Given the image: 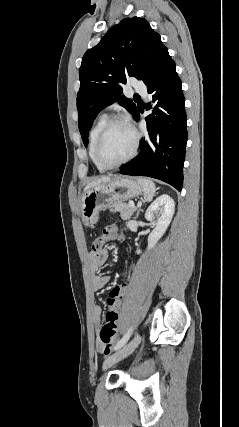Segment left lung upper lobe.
Listing matches in <instances>:
<instances>
[{
	"mask_svg": "<svg viewBox=\"0 0 239 427\" xmlns=\"http://www.w3.org/2000/svg\"><path fill=\"white\" fill-rule=\"evenodd\" d=\"M171 61L160 35L139 17L123 19L88 50L79 70L77 95L78 127L84 145L94 119L106 106L118 101L133 116L138 112L132 100L120 95V84H126L128 76L147 85Z\"/></svg>",
	"mask_w": 239,
	"mask_h": 427,
	"instance_id": "left-lung-upper-lobe-1",
	"label": "left lung upper lobe"
}]
</instances>
